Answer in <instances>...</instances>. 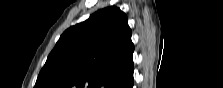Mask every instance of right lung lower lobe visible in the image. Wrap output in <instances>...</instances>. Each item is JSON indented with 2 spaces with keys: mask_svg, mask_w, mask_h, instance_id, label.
<instances>
[{
  "mask_svg": "<svg viewBox=\"0 0 223 88\" xmlns=\"http://www.w3.org/2000/svg\"><path fill=\"white\" fill-rule=\"evenodd\" d=\"M132 87H133V81L130 82V83L126 86V88H132Z\"/></svg>",
  "mask_w": 223,
  "mask_h": 88,
  "instance_id": "1",
  "label": "right lung lower lobe"
}]
</instances>
